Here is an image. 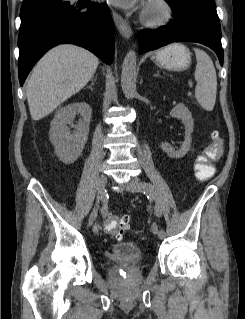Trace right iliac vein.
<instances>
[{
  "mask_svg": "<svg viewBox=\"0 0 245 319\" xmlns=\"http://www.w3.org/2000/svg\"><path fill=\"white\" fill-rule=\"evenodd\" d=\"M106 183H107V177L105 175H101L98 179V186H97V203L96 206L94 208V210L92 211V213L89 216L88 219V225L91 226L97 216V209L99 206V203L103 202L104 197H105V187H106ZM98 224H95L93 226V231L96 233V230L94 229V227H97Z\"/></svg>",
  "mask_w": 245,
  "mask_h": 319,
  "instance_id": "right-iliac-vein-1",
  "label": "right iliac vein"
}]
</instances>
